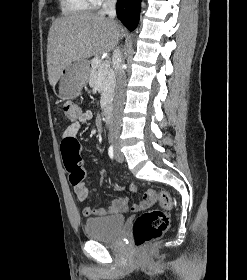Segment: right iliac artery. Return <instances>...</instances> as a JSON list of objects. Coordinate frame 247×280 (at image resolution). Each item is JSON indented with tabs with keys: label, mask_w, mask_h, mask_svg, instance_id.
<instances>
[{
	"label": "right iliac artery",
	"mask_w": 247,
	"mask_h": 280,
	"mask_svg": "<svg viewBox=\"0 0 247 280\" xmlns=\"http://www.w3.org/2000/svg\"><path fill=\"white\" fill-rule=\"evenodd\" d=\"M108 154H109V157H110L111 159L114 158V148H113L112 145H111V146L109 147V149H108Z\"/></svg>",
	"instance_id": "obj_1"
}]
</instances>
